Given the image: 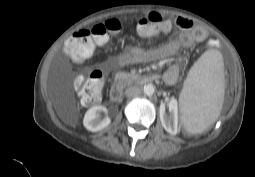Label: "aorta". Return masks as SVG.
<instances>
[{"instance_id":"762f6f07","label":"aorta","mask_w":255,"mask_h":177,"mask_svg":"<svg viewBox=\"0 0 255 177\" xmlns=\"http://www.w3.org/2000/svg\"><path fill=\"white\" fill-rule=\"evenodd\" d=\"M143 92L146 95H152L155 92V87L153 86V84H146L143 87Z\"/></svg>"}]
</instances>
